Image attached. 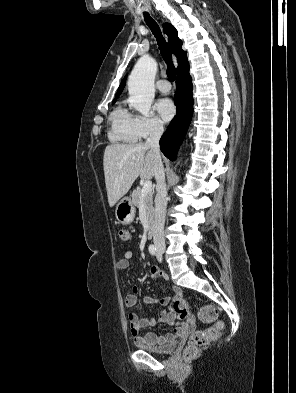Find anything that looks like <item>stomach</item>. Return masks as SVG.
I'll use <instances>...</instances> for the list:
<instances>
[{
  "label": "stomach",
  "instance_id": "1",
  "mask_svg": "<svg viewBox=\"0 0 296 393\" xmlns=\"http://www.w3.org/2000/svg\"><path fill=\"white\" fill-rule=\"evenodd\" d=\"M136 209L130 198H122L115 209L116 219L122 224H130L135 218Z\"/></svg>",
  "mask_w": 296,
  "mask_h": 393
}]
</instances>
